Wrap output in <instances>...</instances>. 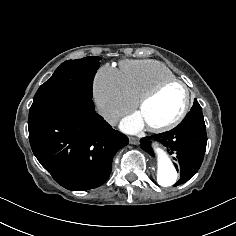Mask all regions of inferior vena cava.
<instances>
[{
    "instance_id": "inferior-vena-cava-1",
    "label": "inferior vena cava",
    "mask_w": 236,
    "mask_h": 236,
    "mask_svg": "<svg viewBox=\"0 0 236 236\" xmlns=\"http://www.w3.org/2000/svg\"><path fill=\"white\" fill-rule=\"evenodd\" d=\"M98 113L103 116L110 124H114L116 120V114L114 113V109L99 107Z\"/></svg>"
}]
</instances>
